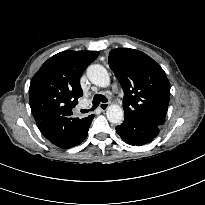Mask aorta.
<instances>
[{
	"mask_svg": "<svg viewBox=\"0 0 205 205\" xmlns=\"http://www.w3.org/2000/svg\"><path fill=\"white\" fill-rule=\"evenodd\" d=\"M87 77L91 83L99 87H107L110 84L107 70L99 64H92L87 68ZM106 116L109 122L119 124L124 119V112L119 105L111 104L107 108Z\"/></svg>",
	"mask_w": 205,
	"mask_h": 205,
	"instance_id": "obj_1",
	"label": "aorta"
}]
</instances>
